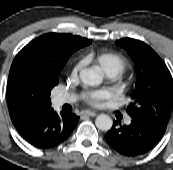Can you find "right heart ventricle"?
Returning a JSON list of instances; mask_svg holds the SVG:
<instances>
[{
	"label": "right heart ventricle",
	"instance_id": "obj_1",
	"mask_svg": "<svg viewBox=\"0 0 173 170\" xmlns=\"http://www.w3.org/2000/svg\"><path fill=\"white\" fill-rule=\"evenodd\" d=\"M99 62L104 66H107V64H108L110 67H112L114 69V71L116 73H121L124 68L122 61H120L119 59L110 57V56L100 57Z\"/></svg>",
	"mask_w": 173,
	"mask_h": 170
}]
</instances>
